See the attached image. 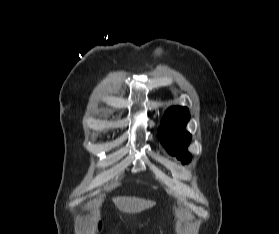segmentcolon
Listing matches in <instances>:
<instances>
[{
    "instance_id": "obj_1",
    "label": "colon",
    "mask_w": 279,
    "mask_h": 234,
    "mask_svg": "<svg viewBox=\"0 0 279 234\" xmlns=\"http://www.w3.org/2000/svg\"><path fill=\"white\" fill-rule=\"evenodd\" d=\"M102 227H103V225H102V223L100 222V223L98 224L99 231H102Z\"/></svg>"
}]
</instances>
